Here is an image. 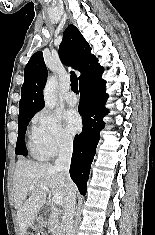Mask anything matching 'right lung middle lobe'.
Here are the masks:
<instances>
[{"instance_id": "1", "label": "right lung middle lobe", "mask_w": 155, "mask_h": 235, "mask_svg": "<svg viewBox=\"0 0 155 235\" xmlns=\"http://www.w3.org/2000/svg\"><path fill=\"white\" fill-rule=\"evenodd\" d=\"M34 114L35 113L19 117L18 138H17L16 150H15L16 155L27 156V149L24 144V136H25L27 125L29 124V121L32 119Z\"/></svg>"}]
</instances>
